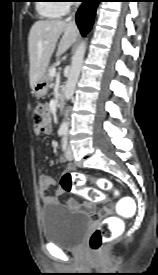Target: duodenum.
Returning a JSON list of instances; mask_svg holds the SVG:
<instances>
[{
	"label": "duodenum",
	"instance_id": "duodenum-1",
	"mask_svg": "<svg viewBox=\"0 0 158 275\" xmlns=\"http://www.w3.org/2000/svg\"><path fill=\"white\" fill-rule=\"evenodd\" d=\"M64 103V94H61L59 96L58 102H57V106H56V110L59 112L63 106Z\"/></svg>",
	"mask_w": 158,
	"mask_h": 275
}]
</instances>
